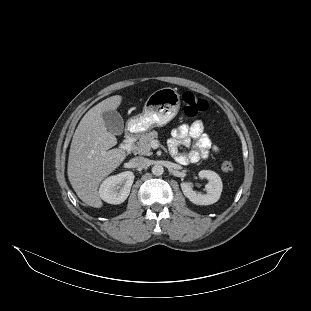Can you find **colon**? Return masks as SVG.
I'll use <instances>...</instances> for the list:
<instances>
[{
    "mask_svg": "<svg viewBox=\"0 0 311 311\" xmlns=\"http://www.w3.org/2000/svg\"><path fill=\"white\" fill-rule=\"evenodd\" d=\"M182 109L186 116L195 117L206 111L207 102L205 99L187 91L182 95ZM221 168L224 172H229L233 170L234 164L231 160L226 159L222 161Z\"/></svg>",
    "mask_w": 311,
    "mask_h": 311,
    "instance_id": "1",
    "label": "colon"
}]
</instances>
